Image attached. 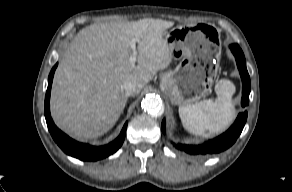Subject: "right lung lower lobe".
Here are the masks:
<instances>
[{
	"mask_svg": "<svg viewBox=\"0 0 292 192\" xmlns=\"http://www.w3.org/2000/svg\"><path fill=\"white\" fill-rule=\"evenodd\" d=\"M57 64L52 68L49 78H48V88L45 96V118L47 122L48 129L54 141L58 146L68 155L78 158L83 161H97L103 159L113 153H115L123 144L127 122L123 126V129L116 140L105 146L94 147L88 144H83L76 142L75 140L69 138L66 134L60 131L55 124L50 115V91L52 85V79L55 72Z\"/></svg>",
	"mask_w": 292,
	"mask_h": 192,
	"instance_id": "obj_1",
	"label": "right lung lower lobe"
}]
</instances>
